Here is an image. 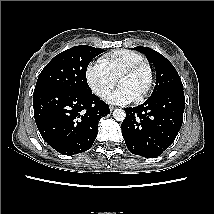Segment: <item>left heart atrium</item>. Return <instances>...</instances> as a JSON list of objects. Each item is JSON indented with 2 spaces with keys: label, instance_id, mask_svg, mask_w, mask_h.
<instances>
[{
  "label": "left heart atrium",
  "instance_id": "obj_1",
  "mask_svg": "<svg viewBox=\"0 0 214 214\" xmlns=\"http://www.w3.org/2000/svg\"><path fill=\"white\" fill-rule=\"evenodd\" d=\"M136 98L125 87L119 86L112 94L108 96V100L114 104H128L134 101Z\"/></svg>",
  "mask_w": 214,
  "mask_h": 214
}]
</instances>
